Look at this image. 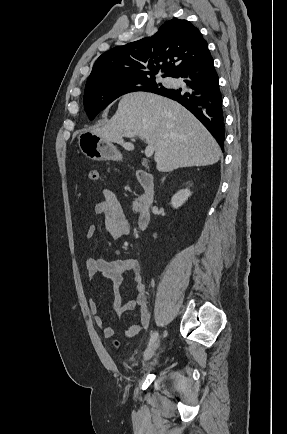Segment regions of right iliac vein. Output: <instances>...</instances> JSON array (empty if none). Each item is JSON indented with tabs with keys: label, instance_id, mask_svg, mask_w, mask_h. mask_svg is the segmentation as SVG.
<instances>
[{
	"label": "right iliac vein",
	"instance_id": "right-iliac-vein-1",
	"mask_svg": "<svg viewBox=\"0 0 287 434\" xmlns=\"http://www.w3.org/2000/svg\"><path fill=\"white\" fill-rule=\"evenodd\" d=\"M158 347H159V341H155L152 344H150L143 354V361L146 362L149 359H151L155 354L156 350L158 349Z\"/></svg>",
	"mask_w": 287,
	"mask_h": 434
}]
</instances>
